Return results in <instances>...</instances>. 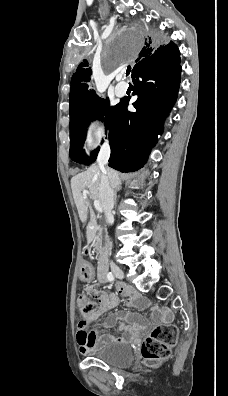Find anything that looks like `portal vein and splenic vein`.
Wrapping results in <instances>:
<instances>
[{
  "mask_svg": "<svg viewBox=\"0 0 228 396\" xmlns=\"http://www.w3.org/2000/svg\"><path fill=\"white\" fill-rule=\"evenodd\" d=\"M88 194H89L88 191H83V196H84L85 198H87V195H88ZM94 207H95V209H96L98 212H101V211H102L101 204H100V202H99L98 200H95V201H94Z\"/></svg>",
  "mask_w": 228,
  "mask_h": 396,
  "instance_id": "obj_1",
  "label": "portal vein and splenic vein"
}]
</instances>
